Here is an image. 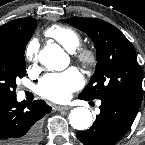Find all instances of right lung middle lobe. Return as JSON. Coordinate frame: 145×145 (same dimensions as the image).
Returning <instances> with one entry per match:
<instances>
[{
	"label": "right lung middle lobe",
	"mask_w": 145,
	"mask_h": 145,
	"mask_svg": "<svg viewBox=\"0 0 145 145\" xmlns=\"http://www.w3.org/2000/svg\"><path fill=\"white\" fill-rule=\"evenodd\" d=\"M35 28L36 22L23 36L0 42V93L16 94V78L26 73L24 52Z\"/></svg>",
	"instance_id": "dd1d6c3e"
}]
</instances>
